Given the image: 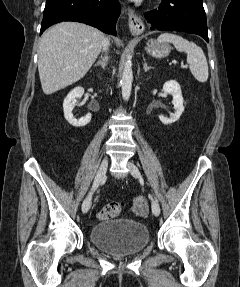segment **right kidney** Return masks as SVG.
<instances>
[{"mask_svg": "<svg viewBox=\"0 0 240 287\" xmlns=\"http://www.w3.org/2000/svg\"><path fill=\"white\" fill-rule=\"evenodd\" d=\"M83 94L84 89L82 87H76L70 93H68L63 102L64 117L68 123L74 127H83L91 121V113H88L79 119L75 118L72 113L77 100L81 98Z\"/></svg>", "mask_w": 240, "mask_h": 287, "instance_id": "1", "label": "right kidney"}]
</instances>
